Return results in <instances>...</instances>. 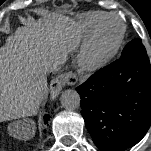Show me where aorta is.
Segmentation results:
<instances>
[{"label":"aorta","mask_w":151,"mask_h":151,"mask_svg":"<svg viewBox=\"0 0 151 151\" xmlns=\"http://www.w3.org/2000/svg\"><path fill=\"white\" fill-rule=\"evenodd\" d=\"M60 101L65 109L74 110L80 105V96L77 91L67 89L62 92Z\"/></svg>","instance_id":"aorta-1"}]
</instances>
